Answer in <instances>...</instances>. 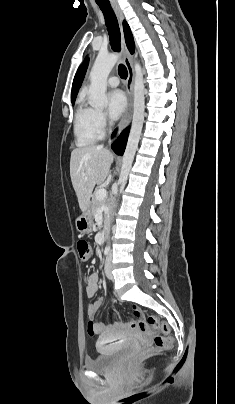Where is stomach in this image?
<instances>
[{
    "label": "stomach",
    "mask_w": 235,
    "mask_h": 404,
    "mask_svg": "<svg viewBox=\"0 0 235 404\" xmlns=\"http://www.w3.org/2000/svg\"><path fill=\"white\" fill-rule=\"evenodd\" d=\"M76 229L81 234L90 233L93 229L91 209L88 207L81 216L76 219Z\"/></svg>",
    "instance_id": "stomach-1"
}]
</instances>
